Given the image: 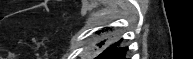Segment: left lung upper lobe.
I'll return each mask as SVG.
<instances>
[{
  "instance_id": "1",
  "label": "left lung upper lobe",
  "mask_w": 193,
  "mask_h": 59,
  "mask_svg": "<svg viewBox=\"0 0 193 59\" xmlns=\"http://www.w3.org/2000/svg\"><path fill=\"white\" fill-rule=\"evenodd\" d=\"M103 43L101 42L100 44H98L99 47H102ZM102 55V54H101Z\"/></svg>"
}]
</instances>
